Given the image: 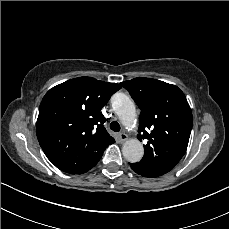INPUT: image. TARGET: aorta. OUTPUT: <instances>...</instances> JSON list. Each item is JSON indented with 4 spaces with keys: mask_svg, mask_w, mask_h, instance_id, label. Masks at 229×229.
<instances>
[{
    "mask_svg": "<svg viewBox=\"0 0 229 229\" xmlns=\"http://www.w3.org/2000/svg\"><path fill=\"white\" fill-rule=\"evenodd\" d=\"M111 105L124 126L131 128L136 124V107L129 96L117 92L111 97ZM122 153L128 162L135 163L142 159L144 148L139 140L129 139L123 144Z\"/></svg>",
    "mask_w": 229,
    "mask_h": 229,
    "instance_id": "1",
    "label": "aorta"
}]
</instances>
